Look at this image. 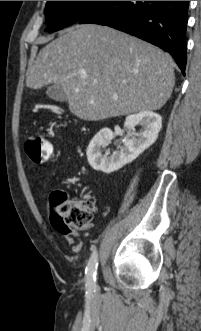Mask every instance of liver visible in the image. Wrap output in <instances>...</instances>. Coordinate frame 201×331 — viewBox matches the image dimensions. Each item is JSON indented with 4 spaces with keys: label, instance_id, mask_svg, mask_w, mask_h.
<instances>
[{
    "label": "liver",
    "instance_id": "6515ba94",
    "mask_svg": "<svg viewBox=\"0 0 201 331\" xmlns=\"http://www.w3.org/2000/svg\"><path fill=\"white\" fill-rule=\"evenodd\" d=\"M52 83L64 88L71 113L99 121L159 110L175 84L174 63L156 46L113 28L76 25L42 48L28 68L27 87Z\"/></svg>",
    "mask_w": 201,
    "mask_h": 331
}]
</instances>
